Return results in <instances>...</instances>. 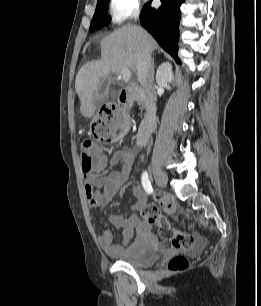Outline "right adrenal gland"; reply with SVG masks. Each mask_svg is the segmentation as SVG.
Masks as SVG:
<instances>
[{
	"instance_id": "2a0ac1e0",
	"label": "right adrenal gland",
	"mask_w": 261,
	"mask_h": 306,
	"mask_svg": "<svg viewBox=\"0 0 261 306\" xmlns=\"http://www.w3.org/2000/svg\"><path fill=\"white\" fill-rule=\"evenodd\" d=\"M151 70H152V73L154 74V58H152V63H151Z\"/></svg>"
}]
</instances>
